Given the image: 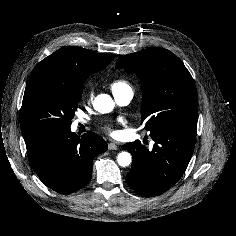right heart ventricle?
I'll list each match as a JSON object with an SVG mask.
<instances>
[{"instance_id": "right-heart-ventricle-1", "label": "right heart ventricle", "mask_w": 236, "mask_h": 236, "mask_svg": "<svg viewBox=\"0 0 236 236\" xmlns=\"http://www.w3.org/2000/svg\"><path fill=\"white\" fill-rule=\"evenodd\" d=\"M110 87H111L113 94L127 91V90L132 91L131 85L125 79H117V80L113 81L111 83Z\"/></svg>"}]
</instances>
